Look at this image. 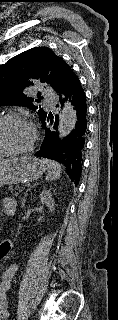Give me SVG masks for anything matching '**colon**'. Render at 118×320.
Returning <instances> with one entry per match:
<instances>
[{
  "mask_svg": "<svg viewBox=\"0 0 118 320\" xmlns=\"http://www.w3.org/2000/svg\"><path fill=\"white\" fill-rule=\"evenodd\" d=\"M1 245H2V249L0 248V258H3L9 252L8 249L11 247V241L10 240H4L0 244V247H1Z\"/></svg>",
  "mask_w": 118,
  "mask_h": 320,
  "instance_id": "1",
  "label": "colon"
}]
</instances>
